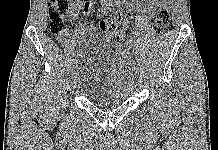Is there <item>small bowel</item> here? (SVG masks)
<instances>
[{
  "instance_id": "small-bowel-1",
  "label": "small bowel",
  "mask_w": 218,
  "mask_h": 150,
  "mask_svg": "<svg viewBox=\"0 0 218 150\" xmlns=\"http://www.w3.org/2000/svg\"><path fill=\"white\" fill-rule=\"evenodd\" d=\"M132 1L133 2H128L127 0H103L99 12L107 13L111 5H114L118 9L117 13H120L123 16L122 24L127 27L132 18L131 11L134 8V4L138 3L140 0ZM169 4L170 0H147L146 5L141 6V11L148 17L152 18L159 10L167 8ZM93 5L94 0H72L71 8L75 16L80 12L88 16L92 13ZM95 29L96 26L93 23L86 22L74 32L69 33L67 31H62L58 35V39L61 42L73 46L74 40L79 38L85 32H90Z\"/></svg>"
}]
</instances>
